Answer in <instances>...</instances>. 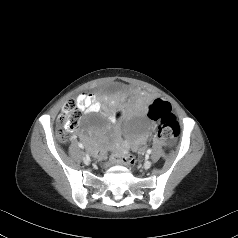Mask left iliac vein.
I'll return each mask as SVG.
<instances>
[{
	"label": "left iliac vein",
	"mask_w": 238,
	"mask_h": 238,
	"mask_svg": "<svg viewBox=\"0 0 238 238\" xmlns=\"http://www.w3.org/2000/svg\"><path fill=\"white\" fill-rule=\"evenodd\" d=\"M151 165H152V162H151V161H146V162L144 163V168H145V169H149V168L151 167Z\"/></svg>",
	"instance_id": "1"
}]
</instances>
